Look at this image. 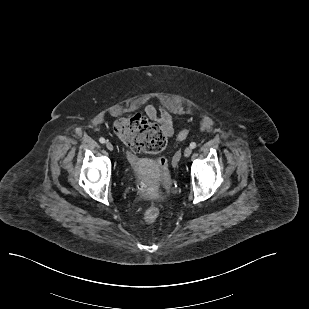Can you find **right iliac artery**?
<instances>
[{
	"label": "right iliac artery",
	"instance_id": "1",
	"mask_svg": "<svg viewBox=\"0 0 309 309\" xmlns=\"http://www.w3.org/2000/svg\"><path fill=\"white\" fill-rule=\"evenodd\" d=\"M99 141H100V143H102V144H104V143L106 142V140H105L103 137H101V138L99 139Z\"/></svg>",
	"mask_w": 309,
	"mask_h": 309
}]
</instances>
